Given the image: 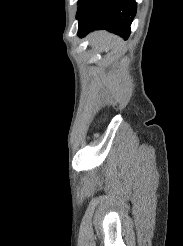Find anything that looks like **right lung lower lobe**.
Segmentation results:
<instances>
[{"mask_svg": "<svg viewBox=\"0 0 183 246\" xmlns=\"http://www.w3.org/2000/svg\"><path fill=\"white\" fill-rule=\"evenodd\" d=\"M136 10L135 0H82L76 16L78 35L83 37L93 30L106 29L127 39Z\"/></svg>", "mask_w": 183, "mask_h": 246, "instance_id": "right-lung-lower-lobe-1", "label": "right lung lower lobe"}]
</instances>
